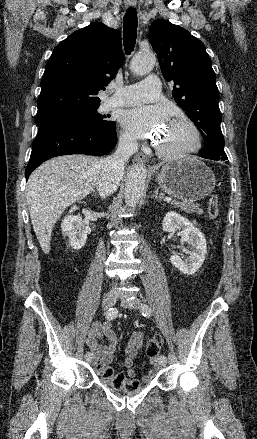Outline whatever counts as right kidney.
<instances>
[{"mask_svg":"<svg viewBox=\"0 0 257 439\" xmlns=\"http://www.w3.org/2000/svg\"><path fill=\"white\" fill-rule=\"evenodd\" d=\"M75 210H77L76 206L69 210L70 214L62 220L61 228L62 232L69 237L70 246L75 250H80L85 245L91 229L84 224L80 216L72 214Z\"/></svg>","mask_w":257,"mask_h":439,"instance_id":"ca27d5eb","label":"right kidney"}]
</instances>
